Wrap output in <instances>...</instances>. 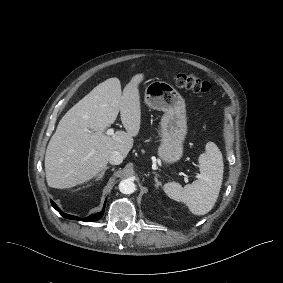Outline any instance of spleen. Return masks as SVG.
<instances>
[{"label": "spleen", "instance_id": "3e777b00", "mask_svg": "<svg viewBox=\"0 0 283 283\" xmlns=\"http://www.w3.org/2000/svg\"><path fill=\"white\" fill-rule=\"evenodd\" d=\"M200 178L184 189L176 182L164 185L166 194L176 200H183L197 215H205L213 209L218 199L224 175L223 154L216 143L206 144L205 154L199 157Z\"/></svg>", "mask_w": 283, "mask_h": 283}]
</instances>
